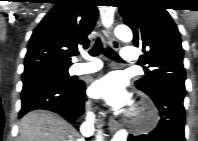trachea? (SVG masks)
<instances>
[{"mask_svg": "<svg viewBox=\"0 0 198 141\" xmlns=\"http://www.w3.org/2000/svg\"><path fill=\"white\" fill-rule=\"evenodd\" d=\"M101 52H103L108 58L114 61H117V62L123 61L121 57L113 49L109 47L104 48L101 39L98 38L93 48L89 51V54L91 56H98L99 54H101Z\"/></svg>", "mask_w": 198, "mask_h": 141, "instance_id": "3493384b", "label": "trachea"}]
</instances>
